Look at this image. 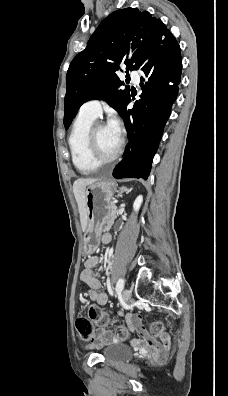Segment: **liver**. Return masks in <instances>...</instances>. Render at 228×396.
I'll list each match as a JSON object with an SVG mask.
<instances>
[{"mask_svg": "<svg viewBox=\"0 0 228 396\" xmlns=\"http://www.w3.org/2000/svg\"><path fill=\"white\" fill-rule=\"evenodd\" d=\"M94 182H96V179L80 178L74 181L73 183V193L76 202L78 204L80 222L83 231H85L87 228V209H86V200H85V190L89 184Z\"/></svg>", "mask_w": 228, "mask_h": 396, "instance_id": "liver-1", "label": "liver"}]
</instances>
